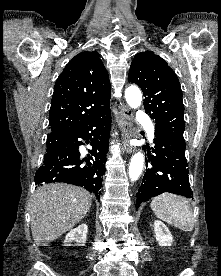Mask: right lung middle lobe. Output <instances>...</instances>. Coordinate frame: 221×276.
<instances>
[{
    "label": "right lung middle lobe",
    "instance_id": "obj_1",
    "mask_svg": "<svg viewBox=\"0 0 221 276\" xmlns=\"http://www.w3.org/2000/svg\"><path fill=\"white\" fill-rule=\"evenodd\" d=\"M70 140V136H51L47 137V151L64 147Z\"/></svg>",
    "mask_w": 221,
    "mask_h": 276
}]
</instances>
